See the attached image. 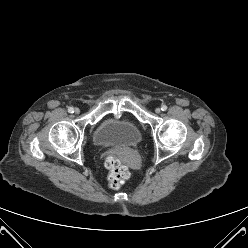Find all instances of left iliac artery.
<instances>
[{
	"instance_id": "left-iliac-artery-1",
	"label": "left iliac artery",
	"mask_w": 248,
	"mask_h": 248,
	"mask_svg": "<svg viewBox=\"0 0 248 248\" xmlns=\"http://www.w3.org/2000/svg\"><path fill=\"white\" fill-rule=\"evenodd\" d=\"M161 110H162V111H166V110H167V106H166V105H162V106H161Z\"/></svg>"
}]
</instances>
